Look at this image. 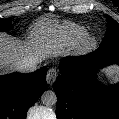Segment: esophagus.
<instances>
[{
    "mask_svg": "<svg viewBox=\"0 0 119 119\" xmlns=\"http://www.w3.org/2000/svg\"><path fill=\"white\" fill-rule=\"evenodd\" d=\"M57 78V71L54 68L48 70L46 75L47 83L52 85Z\"/></svg>",
    "mask_w": 119,
    "mask_h": 119,
    "instance_id": "34e87169",
    "label": "esophagus"
}]
</instances>
